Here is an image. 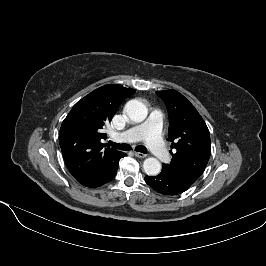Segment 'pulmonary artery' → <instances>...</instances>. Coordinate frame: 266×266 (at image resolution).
<instances>
[{"instance_id": "obj_1", "label": "pulmonary artery", "mask_w": 266, "mask_h": 266, "mask_svg": "<svg viewBox=\"0 0 266 266\" xmlns=\"http://www.w3.org/2000/svg\"><path fill=\"white\" fill-rule=\"evenodd\" d=\"M162 113L154 110L147 120L126 131L116 134L115 140L121 142H136L144 140L152 153L161 161H168L169 154L161 138Z\"/></svg>"}]
</instances>
